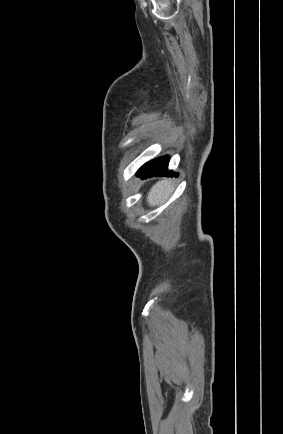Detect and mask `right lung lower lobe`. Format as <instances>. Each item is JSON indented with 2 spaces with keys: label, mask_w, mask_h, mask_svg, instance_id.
I'll return each instance as SVG.
<instances>
[{
  "label": "right lung lower lobe",
  "mask_w": 283,
  "mask_h": 434,
  "mask_svg": "<svg viewBox=\"0 0 283 434\" xmlns=\"http://www.w3.org/2000/svg\"><path fill=\"white\" fill-rule=\"evenodd\" d=\"M168 163H169L168 156L157 158L144 165L141 168V170L137 173V176L141 177L142 179H146L148 177H153V176H164V175L173 176L174 172L168 171Z\"/></svg>",
  "instance_id": "obj_1"
}]
</instances>
